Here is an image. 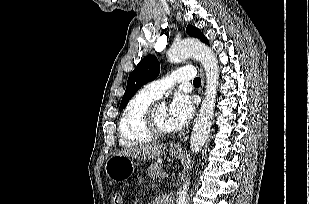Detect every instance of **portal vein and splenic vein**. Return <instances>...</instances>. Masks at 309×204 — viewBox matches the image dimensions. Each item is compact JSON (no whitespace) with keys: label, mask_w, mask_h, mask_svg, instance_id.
<instances>
[{"label":"portal vein and splenic vein","mask_w":309,"mask_h":204,"mask_svg":"<svg viewBox=\"0 0 309 204\" xmlns=\"http://www.w3.org/2000/svg\"><path fill=\"white\" fill-rule=\"evenodd\" d=\"M167 175H168V173L164 172V173H163V178H164L165 176H167Z\"/></svg>","instance_id":"portal-vein-and-splenic-vein-1"}]
</instances>
